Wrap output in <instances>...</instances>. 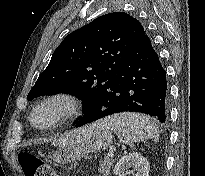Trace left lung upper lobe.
<instances>
[{"label": "left lung upper lobe", "mask_w": 205, "mask_h": 176, "mask_svg": "<svg viewBox=\"0 0 205 176\" xmlns=\"http://www.w3.org/2000/svg\"><path fill=\"white\" fill-rule=\"evenodd\" d=\"M144 35L141 23L127 13L114 12L96 18L65 37L30 90L28 100L69 93L85 100L86 113L117 77Z\"/></svg>", "instance_id": "obj_1"}]
</instances>
